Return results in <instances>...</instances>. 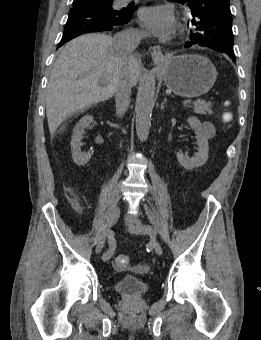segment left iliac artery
Wrapping results in <instances>:
<instances>
[{"label":"left iliac artery","instance_id":"1","mask_svg":"<svg viewBox=\"0 0 261 340\" xmlns=\"http://www.w3.org/2000/svg\"><path fill=\"white\" fill-rule=\"evenodd\" d=\"M142 229L146 231L149 235H156V231L150 225H143Z\"/></svg>","mask_w":261,"mask_h":340}]
</instances>
